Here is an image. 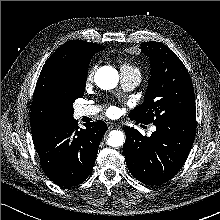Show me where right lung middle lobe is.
<instances>
[{
	"label": "right lung middle lobe",
	"instance_id": "right-lung-middle-lobe-1",
	"mask_svg": "<svg viewBox=\"0 0 220 220\" xmlns=\"http://www.w3.org/2000/svg\"><path fill=\"white\" fill-rule=\"evenodd\" d=\"M90 60L69 64L59 77L58 96L67 119L73 118V102L84 94Z\"/></svg>",
	"mask_w": 220,
	"mask_h": 220
}]
</instances>
